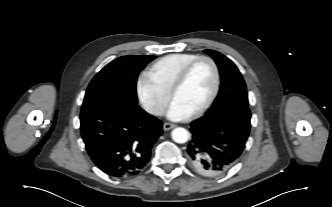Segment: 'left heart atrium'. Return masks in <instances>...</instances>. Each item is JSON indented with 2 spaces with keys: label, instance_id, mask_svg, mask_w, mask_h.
Returning a JSON list of instances; mask_svg holds the SVG:
<instances>
[{
  "label": "left heart atrium",
  "instance_id": "left-heart-atrium-1",
  "mask_svg": "<svg viewBox=\"0 0 332 207\" xmlns=\"http://www.w3.org/2000/svg\"><path fill=\"white\" fill-rule=\"evenodd\" d=\"M191 111L185 108L181 103L177 100L173 99L170 103L166 115L171 120H184L191 115Z\"/></svg>",
  "mask_w": 332,
  "mask_h": 207
}]
</instances>
